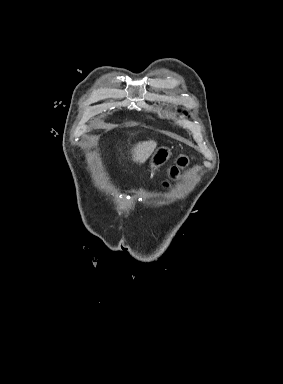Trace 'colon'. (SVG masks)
<instances>
[{
	"instance_id": "obj_1",
	"label": "colon",
	"mask_w": 283,
	"mask_h": 384,
	"mask_svg": "<svg viewBox=\"0 0 283 384\" xmlns=\"http://www.w3.org/2000/svg\"><path fill=\"white\" fill-rule=\"evenodd\" d=\"M188 162V158L187 157H181L179 158L178 160V163L176 166L172 167L171 169V174L174 176L175 174L178 173L179 169L183 166H185Z\"/></svg>"
}]
</instances>
